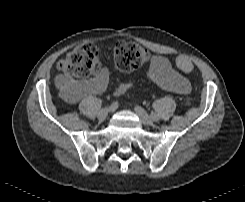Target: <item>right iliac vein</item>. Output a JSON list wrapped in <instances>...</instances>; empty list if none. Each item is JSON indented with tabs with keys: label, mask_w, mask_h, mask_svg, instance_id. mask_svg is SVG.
<instances>
[{
	"label": "right iliac vein",
	"mask_w": 245,
	"mask_h": 202,
	"mask_svg": "<svg viewBox=\"0 0 245 202\" xmlns=\"http://www.w3.org/2000/svg\"><path fill=\"white\" fill-rule=\"evenodd\" d=\"M110 112H111V108L110 107L102 108L98 112V119L101 120V121L105 120Z\"/></svg>",
	"instance_id": "63e3f726"
}]
</instances>
